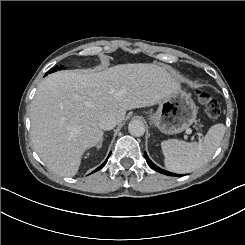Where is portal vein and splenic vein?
I'll return each instance as SVG.
<instances>
[{
    "instance_id": "obj_1",
    "label": "portal vein and splenic vein",
    "mask_w": 245,
    "mask_h": 245,
    "mask_svg": "<svg viewBox=\"0 0 245 245\" xmlns=\"http://www.w3.org/2000/svg\"><path fill=\"white\" fill-rule=\"evenodd\" d=\"M185 131H186V133H188L191 136L194 135V133H195L194 130H192V128H190V127L186 128Z\"/></svg>"
}]
</instances>
